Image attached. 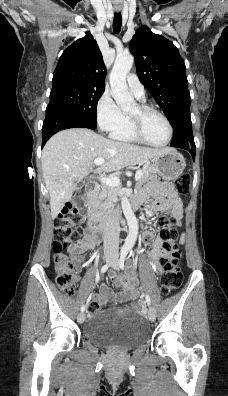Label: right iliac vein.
<instances>
[{"label":"right iliac vein","mask_w":228,"mask_h":396,"mask_svg":"<svg viewBox=\"0 0 228 396\" xmlns=\"http://www.w3.org/2000/svg\"><path fill=\"white\" fill-rule=\"evenodd\" d=\"M105 260H106L107 263L111 262V260H112V255H111V254L106 255ZM77 320H78V322H79L80 324L84 322V320H85V314H84V312H81V313L78 314Z\"/></svg>","instance_id":"right-iliac-vein-1"}]
</instances>
